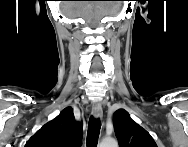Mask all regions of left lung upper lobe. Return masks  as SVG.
I'll return each instance as SVG.
<instances>
[{
    "instance_id": "left-lung-upper-lobe-1",
    "label": "left lung upper lobe",
    "mask_w": 188,
    "mask_h": 147,
    "mask_svg": "<svg viewBox=\"0 0 188 147\" xmlns=\"http://www.w3.org/2000/svg\"><path fill=\"white\" fill-rule=\"evenodd\" d=\"M114 130L120 147H157L150 134L119 109L114 114Z\"/></svg>"
}]
</instances>
